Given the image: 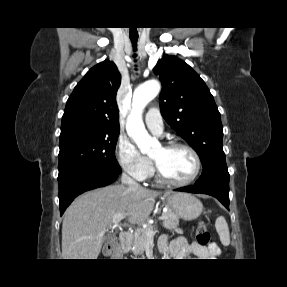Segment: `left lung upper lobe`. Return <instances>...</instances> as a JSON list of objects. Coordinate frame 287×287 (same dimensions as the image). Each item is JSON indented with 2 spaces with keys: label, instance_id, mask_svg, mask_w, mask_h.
<instances>
[{
  "label": "left lung upper lobe",
  "instance_id": "obj_1",
  "mask_svg": "<svg viewBox=\"0 0 287 287\" xmlns=\"http://www.w3.org/2000/svg\"><path fill=\"white\" fill-rule=\"evenodd\" d=\"M153 71L162 82V116L195 149L203 165L202 175L195 184L229 189L221 117L208 87L176 56H164Z\"/></svg>",
  "mask_w": 287,
  "mask_h": 287
}]
</instances>
